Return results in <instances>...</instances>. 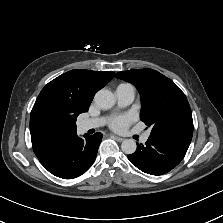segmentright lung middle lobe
Segmentation results:
<instances>
[{
  "label": "right lung middle lobe",
  "instance_id": "dd1d6c3e",
  "mask_svg": "<svg viewBox=\"0 0 223 223\" xmlns=\"http://www.w3.org/2000/svg\"><path fill=\"white\" fill-rule=\"evenodd\" d=\"M77 115L69 113L44 110L36 120V124L49 132H61L64 130H76Z\"/></svg>",
  "mask_w": 223,
  "mask_h": 223
}]
</instances>
